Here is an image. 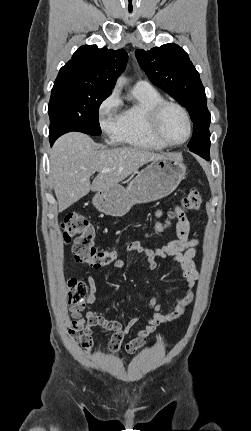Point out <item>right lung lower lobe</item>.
<instances>
[{
    "label": "right lung lower lobe",
    "instance_id": "right-lung-lower-lobe-1",
    "mask_svg": "<svg viewBox=\"0 0 251 431\" xmlns=\"http://www.w3.org/2000/svg\"><path fill=\"white\" fill-rule=\"evenodd\" d=\"M49 139H50V144H51V146H52V145H53V143H54V141L56 140V138H55V137H50Z\"/></svg>",
    "mask_w": 251,
    "mask_h": 431
}]
</instances>
